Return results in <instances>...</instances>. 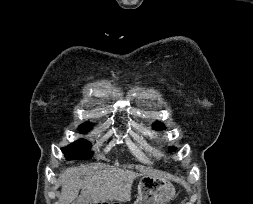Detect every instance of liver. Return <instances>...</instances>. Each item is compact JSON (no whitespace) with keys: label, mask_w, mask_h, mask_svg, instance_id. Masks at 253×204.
Masks as SVG:
<instances>
[{"label":"liver","mask_w":253,"mask_h":204,"mask_svg":"<svg viewBox=\"0 0 253 204\" xmlns=\"http://www.w3.org/2000/svg\"><path fill=\"white\" fill-rule=\"evenodd\" d=\"M137 176L132 171L116 168L97 171L66 169L60 174L62 188L59 204H98L123 200L129 197L128 191Z\"/></svg>","instance_id":"6515ba94"}]
</instances>
